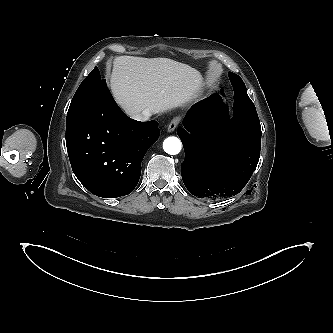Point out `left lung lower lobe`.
I'll return each instance as SVG.
<instances>
[{"mask_svg":"<svg viewBox=\"0 0 333 333\" xmlns=\"http://www.w3.org/2000/svg\"><path fill=\"white\" fill-rule=\"evenodd\" d=\"M233 108L229 120L220 95H212L193 105L184 128L177 130L185 150L182 179L195 196L215 200L238 194L258 164L261 128L256 110L236 100ZM238 110L241 120L233 122Z\"/></svg>","mask_w":333,"mask_h":333,"instance_id":"0a47b994","label":"left lung lower lobe"}]
</instances>
